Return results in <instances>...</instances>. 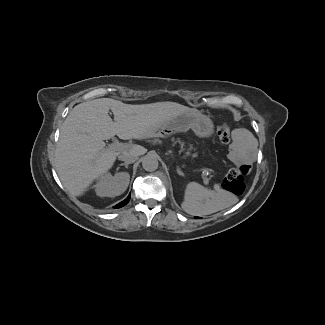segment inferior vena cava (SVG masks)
<instances>
[{
	"label": "inferior vena cava",
	"instance_id": "obj_1",
	"mask_svg": "<svg viewBox=\"0 0 325 325\" xmlns=\"http://www.w3.org/2000/svg\"><path fill=\"white\" fill-rule=\"evenodd\" d=\"M118 159L121 161H125L126 163H134L136 160H138V155L136 153L130 152V153H123L118 156Z\"/></svg>",
	"mask_w": 325,
	"mask_h": 325
}]
</instances>
